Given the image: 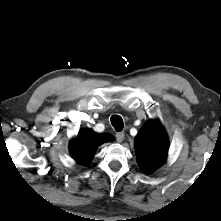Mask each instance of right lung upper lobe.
I'll return each mask as SVG.
<instances>
[{
	"label": "right lung upper lobe",
	"mask_w": 221,
	"mask_h": 221,
	"mask_svg": "<svg viewBox=\"0 0 221 221\" xmlns=\"http://www.w3.org/2000/svg\"><path fill=\"white\" fill-rule=\"evenodd\" d=\"M114 137L110 134H97L92 130L79 132L78 136L70 143V153L79 164H87L92 159L96 147Z\"/></svg>",
	"instance_id": "obj_1"
}]
</instances>
